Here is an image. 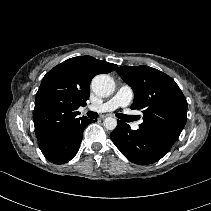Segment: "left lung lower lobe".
I'll use <instances>...</instances> for the list:
<instances>
[{
  "instance_id": "0a47b994",
  "label": "left lung lower lobe",
  "mask_w": 211,
  "mask_h": 211,
  "mask_svg": "<svg viewBox=\"0 0 211 211\" xmlns=\"http://www.w3.org/2000/svg\"><path fill=\"white\" fill-rule=\"evenodd\" d=\"M111 140L122 154L138 165H148L160 160L170 149L163 147L148 133L118 120L117 127L110 135Z\"/></svg>"
}]
</instances>
